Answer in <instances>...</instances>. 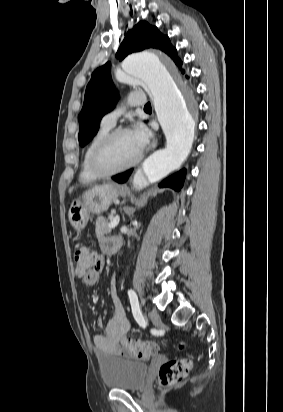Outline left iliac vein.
<instances>
[{
	"label": "left iliac vein",
	"mask_w": 283,
	"mask_h": 412,
	"mask_svg": "<svg viewBox=\"0 0 283 412\" xmlns=\"http://www.w3.org/2000/svg\"><path fill=\"white\" fill-rule=\"evenodd\" d=\"M148 316L155 325H159L161 323L160 315L156 310L149 311Z\"/></svg>",
	"instance_id": "1"
}]
</instances>
